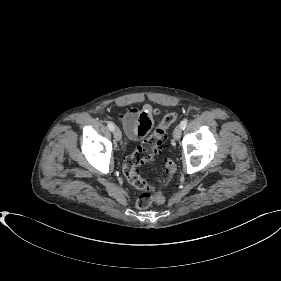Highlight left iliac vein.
Segmentation results:
<instances>
[{
    "label": "left iliac vein",
    "instance_id": "obj_1",
    "mask_svg": "<svg viewBox=\"0 0 281 281\" xmlns=\"http://www.w3.org/2000/svg\"><path fill=\"white\" fill-rule=\"evenodd\" d=\"M182 134V128L179 126H177L174 131H173V137L175 140H179Z\"/></svg>",
    "mask_w": 281,
    "mask_h": 281
}]
</instances>
